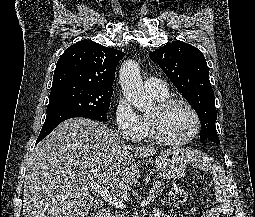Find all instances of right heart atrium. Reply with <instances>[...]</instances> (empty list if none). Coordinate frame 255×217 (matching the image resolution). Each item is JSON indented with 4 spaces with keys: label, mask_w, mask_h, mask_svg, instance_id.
Returning a JSON list of instances; mask_svg holds the SVG:
<instances>
[{
    "label": "right heart atrium",
    "mask_w": 255,
    "mask_h": 217,
    "mask_svg": "<svg viewBox=\"0 0 255 217\" xmlns=\"http://www.w3.org/2000/svg\"><path fill=\"white\" fill-rule=\"evenodd\" d=\"M115 123L120 134L130 140H138L144 136L145 125L143 118L138 114L130 102L120 97L114 110Z\"/></svg>",
    "instance_id": "d8ad5b80"
}]
</instances>
